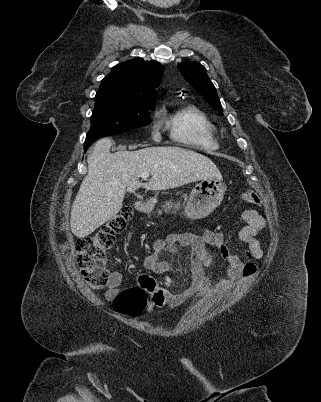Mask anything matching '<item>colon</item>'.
I'll return each mask as SVG.
<instances>
[{
    "label": "colon",
    "mask_w": 321,
    "mask_h": 402,
    "mask_svg": "<svg viewBox=\"0 0 321 402\" xmlns=\"http://www.w3.org/2000/svg\"><path fill=\"white\" fill-rule=\"evenodd\" d=\"M243 199L251 204H262L260 197L253 192L244 193ZM132 216V209L125 207L94 234L77 239V264L83 280L92 290H102L106 286L110 272L104 263L105 254ZM146 305L147 293L139 286L123 290L114 300L115 310L128 317L139 316Z\"/></svg>",
    "instance_id": "1"
}]
</instances>
